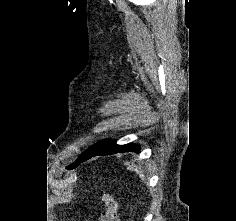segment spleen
Wrapping results in <instances>:
<instances>
[{
	"label": "spleen",
	"instance_id": "1",
	"mask_svg": "<svg viewBox=\"0 0 236 221\" xmlns=\"http://www.w3.org/2000/svg\"><path fill=\"white\" fill-rule=\"evenodd\" d=\"M127 166H128L129 170H134L141 177L142 180H145L144 174L142 173V171L135 164L130 165V164L127 163Z\"/></svg>",
	"mask_w": 236,
	"mask_h": 221
}]
</instances>
